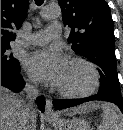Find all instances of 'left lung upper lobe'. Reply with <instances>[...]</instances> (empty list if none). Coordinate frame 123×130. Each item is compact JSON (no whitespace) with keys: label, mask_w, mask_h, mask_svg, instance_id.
Wrapping results in <instances>:
<instances>
[{"label":"left lung upper lobe","mask_w":123,"mask_h":130,"mask_svg":"<svg viewBox=\"0 0 123 130\" xmlns=\"http://www.w3.org/2000/svg\"><path fill=\"white\" fill-rule=\"evenodd\" d=\"M63 23L71 27L72 49L98 66V94L123 104L116 74L114 24L105 0H58Z\"/></svg>","instance_id":"obj_1"}]
</instances>
